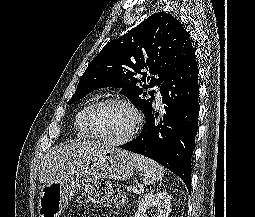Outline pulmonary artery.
Here are the masks:
<instances>
[{
  "label": "pulmonary artery",
  "mask_w": 255,
  "mask_h": 217,
  "mask_svg": "<svg viewBox=\"0 0 255 217\" xmlns=\"http://www.w3.org/2000/svg\"><path fill=\"white\" fill-rule=\"evenodd\" d=\"M155 97H156L157 103L160 105L162 103V96H161L159 86H155Z\"/></svg>",
  "instance_id": "obj_1"
}]
</instances>
